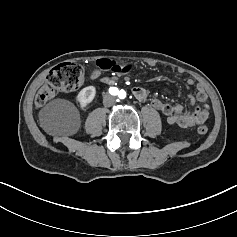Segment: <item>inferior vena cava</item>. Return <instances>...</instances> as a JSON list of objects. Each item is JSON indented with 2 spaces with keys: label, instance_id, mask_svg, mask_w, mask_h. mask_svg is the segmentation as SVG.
<instances>
[{
  "label": "inferior vena cava",
  "instance_id": "obj_1",
  "mask_svg": "<svg viewBox=\"0 0 237 237\" xmlns=\"http://www.w3.org/2000/svg\"><path fill=\"white\" fill-rule=\"evenodd\" d=\"M115 101H116L115 97L108 94V95H105L103 104L104 106L109 107V106H112Z\"/></svg>",
  "mask_w": 237,
  "mask_h": 237
}]
</instances>
